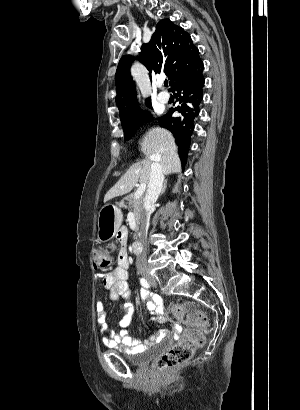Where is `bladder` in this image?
<instances>
[{
    "instance_id": "1",
    "label": "bladder",
    "mask_w": 300,
    "mask_h": 410,
    "mask_svg": "<svg viewBox=\"0 0 300 410\" xmlns=\"http://www.w3.org/2000/svg\"><path fill=\"white\" fill-rule=\"evenodd\" d=\"M155 354V350L150 348L142 351L138 355L127 356L126 360L133 366L142 367L147 365Z\"/></svg>"
}]
</instances>
